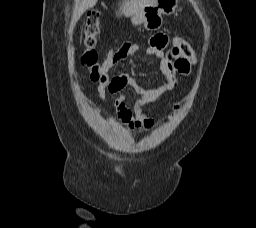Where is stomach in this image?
Listing matches in <instances>:
<instances>
[{
	"label": "stomach",
	"instance_id": "1",
	"mask_svg": "<svg viewBox=\"0 0 256 228\" xmlns=\"http://www.w3.org/2000/svg\"><path fill=\"white\" fill-rule=\"evenodd\" d=\"M178 0H153L132 16L134 25H143L147 30L159 29L163 24L162 15H170L177 8Z\"/></svg>",
	"mask_w": 256,
	"mask_h": 228
}]
</instances>
